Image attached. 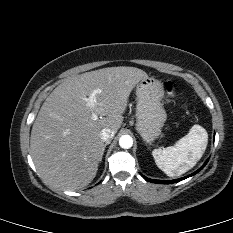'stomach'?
Returning a JSON list of instances; mask_svg holds the SVG:
<instances>
[{
    "mask_svg": "<svg viewBox=\"0 0 233 233\" xmlns=\"http://www.w3.org/2000/svg\"><path fill=\"white\" fill-rule=\"evenodd\" d=\"M136 130L146 143H152L161 135L167 119L162 106L163 84L153 78L142 79L136 86Z\"/></svg>",
    "mask_w": 233,
    "mask_h": 233,
    "instance_id": "0dacf381",
    "label": "stomach"
}]
</instances>
